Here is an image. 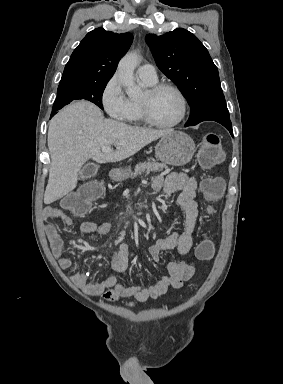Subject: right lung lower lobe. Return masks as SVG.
Returning <instances> with one entry per match:
<instances>
[{
    "label": "right lung lower lobe",
    "instance_id": "right-lung-lower-lobe-1",
    "mask_svg": "<svg viewBox=\"0 0 283 384\" xmlns=\"http://www.w3.org/2000/svg\"><path fill=\"white\" fill-rule=\"evenodd\" d=\"M53 111H57L56 109H53ZM55 115V112L51 113V117Z\"/></svg>",
    "mask_w": 283,
    "mask_h": 384
}]
</instances>
